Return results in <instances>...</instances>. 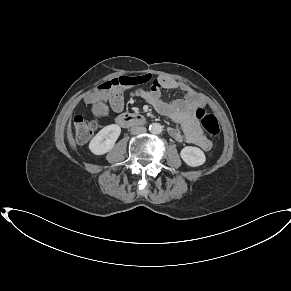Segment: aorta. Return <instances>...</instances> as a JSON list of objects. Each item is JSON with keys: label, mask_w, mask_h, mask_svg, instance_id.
<instances>
[{"label": "aorta", "mask_w": 291, "mask_h": 291, "mask_svg": "<svg viewBox=\"0 0 291 291\" xmlns=\"http://www.w3.org/2000/svg\"><path fill=\"white\" fill-rule=\"evenodd\" d=\"M149 130L151 133L153 134H160L163 130V127L161 124L159 123H152L150 126H149Z\"/></svg>", "instance_id": "1"}]
</instances>
